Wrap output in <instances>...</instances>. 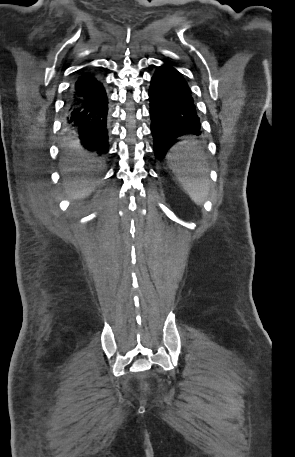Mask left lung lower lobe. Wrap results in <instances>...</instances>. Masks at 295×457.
<instances>
[{"label": "left lung lower lobe", "mask_w": 295, "mask_h": 457, "mask_svg": "<svg viewBox=\"0 0 295 457\" xmlns=\"http://www.w3.org/2000/svg\"><path fill=\"white\" fill-rule=\"evenodd\" d=\"M151 133L157 159L186 135H200V118L183 75L171 64L157 67L149 89Z\"/></svg>", "instance_id": "1"}]
</instances>
